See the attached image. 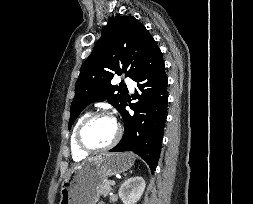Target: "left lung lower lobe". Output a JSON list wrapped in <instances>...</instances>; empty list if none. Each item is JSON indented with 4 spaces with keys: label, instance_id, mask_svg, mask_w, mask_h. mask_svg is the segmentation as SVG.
Returning a JSON list of instances; mask_svg holds the SVG:
<instances>
[{
    "label": "left lung lower lobe",
    "instance_id": "obj_1",
    "mask_svg": "<svg viewBox=\"0 0 253 204\" xmlns=\"http://www.w3.org/2000/svg\"><path fill=\"white\" fill-rule=\"evenodd\" d=\"M133 80L139 90L135 94L138 102L130 105L134 113H129L125 110V100L120 110L125 126L124 135L110 151H132L141 156L154 173L161 151L168 100L165 65L156 44Z\"/></svg>",
    "mask_w": 253,
    "mask_h": 204
}]
</instances>
